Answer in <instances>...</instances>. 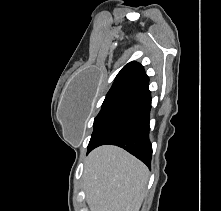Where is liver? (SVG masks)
Segmentation results:
<instances>
[{
    "mask_svg": "<svg viewBox=\"0 0 221 211\" xmlns=\"http://www.w3.org/2000/svg\"><path fill=\"white\" fill-rule=\"evenodd\" d=\"M148 169L122 148L104 145L85 160L83 188L90 211H139Z\"/></svg>",
    "mask_w": 221,
    "mask_h": 211,
    "instance_id": "6515ba94",
    "label": "liver"
}]
</instances>
